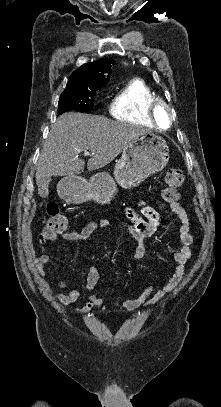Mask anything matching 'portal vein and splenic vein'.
Returning a JSON list of instances; mask_svg holds the SVG:
<instances>
[{"instance_id":"obj_1","label":"portal vein and splenic vein","mask_w":221,"mask_h":407,"mask_svg":"<svg viewBox=\"0 0 221 407\" xmlns=\"http://www.w3.org/2000/svg\"><path fill=\"white\" fill-rule=\"evenodd\" d=\"M90 153H89V151L88 150H85L84 151V155H89ZM93 154V153H92Z\"/></svg>"}]
</instances>
